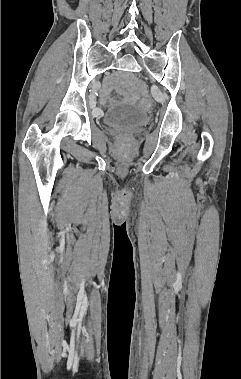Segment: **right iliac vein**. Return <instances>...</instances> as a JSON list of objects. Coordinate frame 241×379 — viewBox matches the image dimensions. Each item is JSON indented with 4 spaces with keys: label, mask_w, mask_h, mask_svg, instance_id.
<instances>
[{
    "label": "right iliac vein",
    "mask_w": 241,
    "mask_h": 379,
    "mask_svg": "<svg viewBox=\"0 0 241 379\" xmlns=\"http://www.w3.org/2000/svg\"><path fill=\"white\" fill-rule=\"evenodd\" d=\"M94 112L98 114V109H95Z\"/></svg>",
    "instance_id": "right-iliac-vein-1"
}]
</instances>
